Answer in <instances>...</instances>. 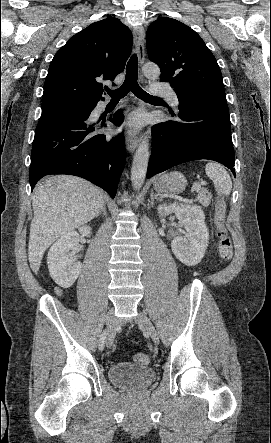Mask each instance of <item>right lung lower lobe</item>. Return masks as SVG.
Wrapping results in <instances>:
<instances>
[{"label": "right lung lower lobe", "instance_id": "98d812e1", "mask_svg": "<svg viewBox=\"0 0 271 443\" xmlns=\"http://www.w3.org/2000/svg\"><path fill=\"white\" fill-rule=\"evenodd\" d=\"M96 104L42 113L31 152V189L48 174H68L85 178L115 197L125 166L124 136L107 139L105 135L93 134L98 126L88 118ZM123 119L118 110L109 121L120 125ZM104 121L101 127H106Z\"/></svg>", "mask_w": 271, "mask_h": 443}]
</instances>
